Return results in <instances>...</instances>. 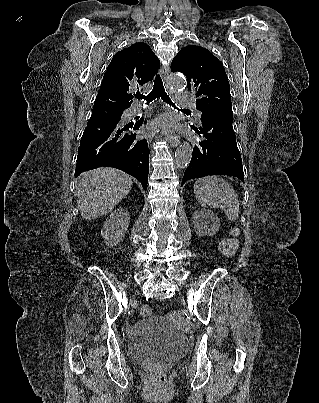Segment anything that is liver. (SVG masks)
<instances>
[{
    "label": "liver",
    "mask_w": 319,
    "mask_h": 403,
    "mask_svg": "<svg viewBox=\"0 0 319 403\" xmlns=\"http://www.w3.org/2000/svg\"><path fill=\"white\" fill-rule=\"evenodd\" d=\"M132 178L113 168H99L78 178L77 205L87 220L109 213L132 188Z\"/></svg>",
    "instance_id": "liver-1"
}]
</instances>
